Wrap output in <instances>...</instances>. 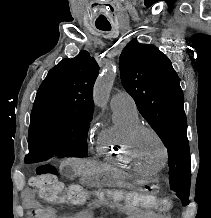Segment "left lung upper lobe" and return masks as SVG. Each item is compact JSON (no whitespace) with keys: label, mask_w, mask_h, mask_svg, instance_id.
<instances>
[{"label":"left lung upper lobe","mask_w":211,"mask_h":218,"mask_svg":"<svg viewBox=\"0 0 211 218\" xmlns=\"http://www.w3.org/2000/svg\"><path fill=\"white\" fill-rule=\"evenodd\" d=\"M119 64L125 90L168 150L171 190L187 202L191 163L179 77L171 61L157 47L136 40L124 48Z\"/></svg>","instance_id":"left-lung-upper-lobe-1"}]
</instances>
